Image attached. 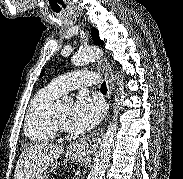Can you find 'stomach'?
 <instances>
[{
    "label": "stomach",
    "mask_w": 183,
    "mask_h": 179,
    "mask_svg": "<svg viewBox=\"0 0 183 179\" xmlns=\"http://www.w3.org/2000/svg\"><path fill=\"white\" fill-rule=\"evenodd\" d=\"M65 157L80 163L84 162L88 158V155L84 148H77L75 146H70L66 150ZM34 179H48V177L46 175V172H44L43 174H40Z\"/></svg>",
    "instance_id": "1"
}]
</instances>
